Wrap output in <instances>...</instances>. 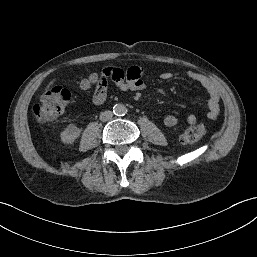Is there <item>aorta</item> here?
Masks as SVG:
<instances>
[{
    "mask_svg": "<svg viewBox=\"0 0 257 257\" xmlns=\"http://www.w3.org/2000/svg\"><path fill=\"white\" fill-rule=\"evenodd\" d=\"M113 112L115 115L123 116L126 114L127 109H126L125 105L119 103V104L114 105Z\"/></svg>",
    "mask_w": 257,
    "mask_h": 257,
    "instance_id": "1",
    "label": "aorta"
}]
</instances>
